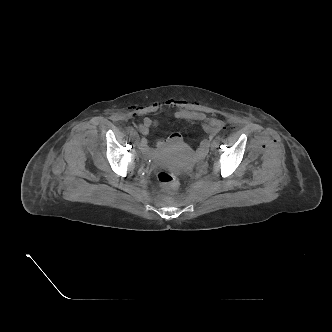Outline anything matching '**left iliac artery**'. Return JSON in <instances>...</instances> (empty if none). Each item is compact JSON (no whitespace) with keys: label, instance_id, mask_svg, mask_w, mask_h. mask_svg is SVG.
I'll return each instance as SVG.
<instances>
[{"label":"left iliac artery","instance_id":"obj_1","mask_svg":"<svg viewBox=\"0 0 332 332\" xmlns=\"http://www.w3.org/2000/svg\"><path fill=\"white\" fill-rule=\"evenodd\" d=\"M216 143H217V145H219V143H220V141H221V136L220 135H218L217 137H216Z\"/></svg>","mask_w":332,"mask_h":332}]
</instances>
